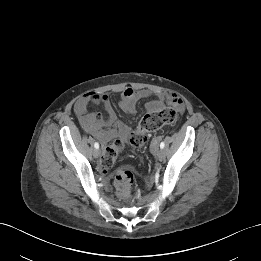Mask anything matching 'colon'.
I'll return each instance as SVG.
<instances>
[{"label": "colon", "instance_id": "1", "mask_svg": "<svg viewBox=\"0 0 261 261\" xmlns=\"http://www.w3.org/2000/svg\"><path fill=\"white\" fill-rule=\"evenodd\" d=\"M179 113L173 108H163L155 111H148L141 119L137 129L129 136V142L135 147H142L149 133L159 130L165 126L173 125L178 121ZM124 141L115 140L104 151L101 158V168L104 171L110 170L116 160L117 155L122 151ZM115 189L117 194L122 198L130 196L134 185V176L132 172L126 168L117 171L115 181Z\"/></svg>", "mask_w": 261, "mask_h": 261}]
</instances>
